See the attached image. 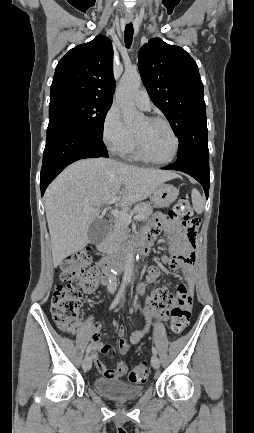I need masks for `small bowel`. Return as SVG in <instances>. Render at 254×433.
<instances>
[{"mask_svg": "<svg viewBox=\"0 0 254 433\" xmlns=\"http://www.w3.org/2000/svg\"><path fill=\"white\" fill-rule=\"evenodd\" d=\"M165 228L172 239L176 242V247L172 249L170 256H162L161 262L173 270H180L185 276L186 282L180 283L175 294L169 293L166 287H161L150 293L143 308V313L147 319V326L141 330L133 331L129 336L132 344H138L147 334L153 319L165 321L168 318L170 309L176 305L179 296L190 297L192 300L193 284L192 279L195 275V253L191 244L181 235L173 224H167L163 221V215H156L155 219L150 221L145 228L143 237L153 241L159 231ZM160 275L158 267L153 266L148 270L146 282L153 283ZM99 324L94 325L93 338L91 343L92 359L98 372L108 379H118L127 373L128 366L125 362L118 360L115 367L109 368L101 360L100 354H111L110 346L101 341L102 333L99 330ZM118 350L125 355L129 350V343L124 336V329H118Z\"/></svg>", "mask_w": 254, "mask_h": 433, "instance_id": "c3829d8e", "label": "small bowel"}]
</instances>
